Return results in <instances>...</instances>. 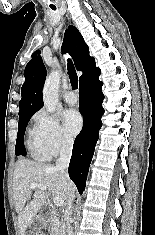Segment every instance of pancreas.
<instances>
[{
  "label": "pancreas",
  "mask_w": 155,
  "mask_h": 235,
  "mask_svg": "<svg viewBox=\"0 0 155 235\" xmlns=\"http://www.w3.org/2000/svg\"><path fill=\"white\" fill-rule=\"evenodd\" d=\"M48 225L52 235H63L64 222L59 218L57 213L52 212L50 218L48 219Z\"/></svg>",
  "instance_id": "obj_1"
}]
</instances>
